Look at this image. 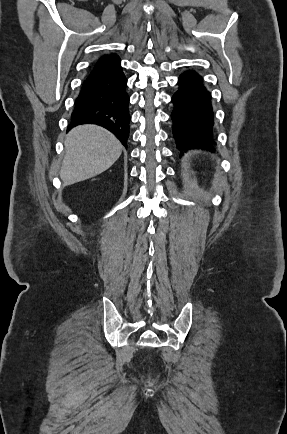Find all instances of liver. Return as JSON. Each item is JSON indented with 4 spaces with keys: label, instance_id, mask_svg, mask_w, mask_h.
Segmentation results:
<instances>
[{
    "label": "liver",
    "instance_id": "1",
    "mask_svg": "<svg viewBox=\"0 0 287 434\" xmlns=\"http://www.w3.org/2000/svg\"><path fill=\"white\" fill-rule=\"evenodd\" d=\"M64 144L65 157L60 170L64 186L103 173L117 161L123 149L112 133L96 125L75 127Z\"/></svg>",
    "mask_w": 287,
    "mask_h": 434
}]
</instances>
